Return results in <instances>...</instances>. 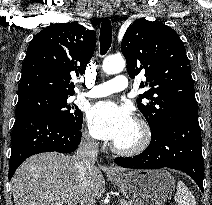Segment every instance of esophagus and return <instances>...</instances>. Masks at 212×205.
<instances>
[{"instance_id":"esophagus-1","label":"esophagus","mask_w":212,"mask_h":205,"mask_svg":"<svg viewBox=\"0 0 212 205\" xmlns=\"http://www.w3.org/2000/svg\"><path fill=\"white\" fill-rule=\"evenodd\" d=\"M102 12L105 16H110L112 15V7L110 4L108 3H104L103 7H102ZM108 172L111 174H116L118 173V170L116 168H114L113 166H110L108 169Z\"/></svg>"}]
</instances>
